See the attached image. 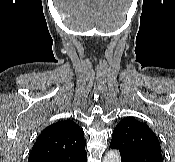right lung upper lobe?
Listing matches in <instances>:
<instances>
[{"label":"right lung upper lobe","instance_id":"1","mask_svg":"<svg viewBox=\"0 0 175 162\" xmlns=\"http://www.w3.org/2000/svg\"><path fill=\"white\" fill-rule=\"evenodd\" d=\"M83 130L72 120L45 128L30 152L28 162L74 161L86 154Z\"/></svg>","mask_w":175,"mask_h":162}]
</instances>
